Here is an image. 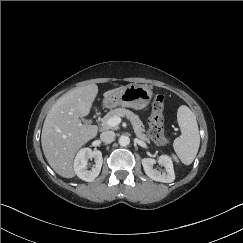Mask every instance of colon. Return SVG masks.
<instances>
[{
    "instance_id": "colon-1",
    "label": "colon",
    "mask_w": 243,
    "mask_h": 243,
    "mask_svg": "<svg viewBox=\"0 0 243 243\" xmlns=\"http://www.w3.org/2000/svg\"><path fill=\"white\" fill-rule=\"evenodd\" d=\"M163 105V95L156 93L153 97L152 115L149 119V136L160 145H168L170 138L164 134Z\"/></svg>"
}]
</instances>
